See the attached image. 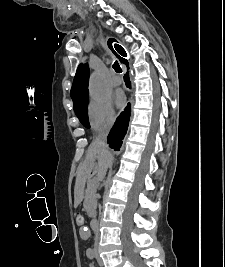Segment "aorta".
Returning a JSON list of instances; mask_svg holds the SVG:
<instances>
[{
	"instance_id": "762f6f07",
	"label": "aorta",
	"mask_w": 225,
	"mask_h": 267,
	"mask_svg": "<svg viewBox=\"0 0 225 267\" xmlns=\"http://www.w3.org/2000/svg\"><path fill=\"white\" fill-rule=\"evenodd\" d=\"M90 97L95 101H102L108 97V90L100 76L93 73L89 82Z\"/></svg>"
}]
</instances>
